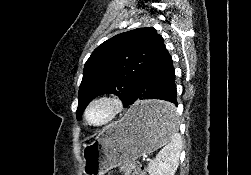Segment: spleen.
<instances>
[{
    "mask_svg": "<svg viewBox=\"0 0 251 175\" xmlns=\"http://www.w3.org/2000/svg\"><path fill=\"white\" fill-rule=\"evenodd\" d=\"M164 125L169 131L170 141L160 149L156 159L149 163L148 169L150 175H174L179 165V155L182 149V139L180 133H177L178 123L176 111L169 109L168 115L164 119Z\"/></svg>",
    "mask_w": 251,
    "mask_h": 175,
    "instance_id": "spleen-1",
    "label": "spleen"
}]
</instances>
